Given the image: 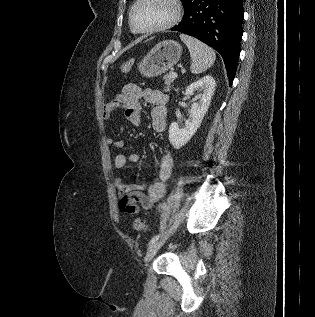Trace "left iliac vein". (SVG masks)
Segmentation results:
<instances>
[{
    "mask_svg": "<svg viewBox=\"0 0 315 317\" xmlns=\"http://www.w3.org/2000/svg\"><path fill=\"white\" fill-rule=\"evenodd\" d=\"M165 239L162 240H157L154 243H152L147 251H146V255L144 257V261L145 263H148L151 261V259L155 256V254L157 253V251L161 248V246L164 244Z\"/></svg>",
    "mask_w": 315,
    "mask_h": 317,
    "instance_id": "1",
    "label": "left iliac vein"
}]
</instances>
